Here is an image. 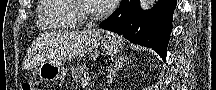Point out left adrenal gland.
Segmentation results:
<instances>
[{
	"instance_id": "1",
	"label": "left adrenal gland",
	"mask_w": 216,
	"mask_h": 90,
	"mask_svg": "<svg viewBox=\"0 0 216 90\" xmlns=\"http://www.w3.org/2000/svg\"><path fill=\"white\" fill-rule=\"evenodd\" d=\"M127 60H129V58H127V56H117V58L115 60V64H112V66H110V70H108V72H109V74H108L109 84H112V80H113L116 72H118V70H120V68H122V66H125Z\"/></svg>"
}]
</instances>
